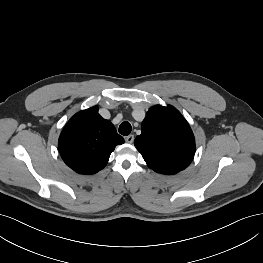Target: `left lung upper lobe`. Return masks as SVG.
<instances>
[{"mask_svg":"<svg viewBox=\"0 0 263 263\" xmlns=\"http://www.w3.org/2000/svg\"><path fill=\"white\" fill-rule=\"evenodd\" d=\"M141 131L135 146L155 172L176 174L193 160L196 148L193 132L173 106L150 108Z\"/></svg>","mask_w":263,"mask_h":263,"instance_id":"5c2ea615","label":"left lung upper lobe"}]
</instances>
